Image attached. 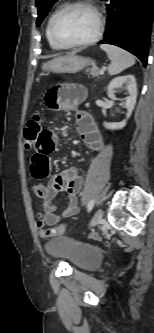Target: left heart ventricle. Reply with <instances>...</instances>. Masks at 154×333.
<instances>
[{"instance_id":"b2bd125f","label":"left heart ventricle","mask_w":154,"mask_h":333,"mask_svg":"<svg viewBox=\"0 0 154 333\" xmlns=\"http://www.w3.org/2000/svg\"><path fill=\"white\" fill-rule=\"evenodd\" d=\"M97 28L95 13L84 7L65 12L57 22L56 32L66 43H76L91 38Z\"/></svg>"}]
</instances>
